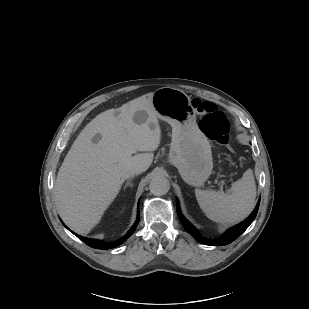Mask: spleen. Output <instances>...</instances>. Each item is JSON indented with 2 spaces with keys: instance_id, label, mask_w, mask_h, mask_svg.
<instances>
[{
  "instance_id": "3e777b00",
  "label": "spleen",
  "mask_w": 309,
  "mask_h": 309,
  "mask_svg": "<svg viewBox=\"0 0 309 309\" xmlns=\"http://www.w3.org/2000/svg\"><path fill=\"white\" fill-rule=\"evenodd\" d=\"M197 202L205 215L215 222L236 223L247 217L255 204L256 185L251 170L234 182L229 193L195 190Z\"/></svg>"
}]
</instances>
